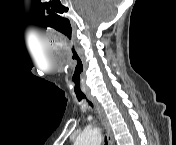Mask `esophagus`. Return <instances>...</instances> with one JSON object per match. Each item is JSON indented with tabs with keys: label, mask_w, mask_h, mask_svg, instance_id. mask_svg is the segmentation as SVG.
<instances>
[{
	"label": "esophagus",
	"mask_w": 176,
	"mask_h": 145,
	"mask_svg": "<svg viewBox=\"0 0 176 145\" xmlns=\"http://www.w3.org/2000/svg\"><path fill=\"white\" fill-rule=\"evenodd\" d=\"M89 99L91 100V102L94 104V106L97 108V110L100 113L102 124L106 130V136H107L109 145H114L112 129L103 108L101 107L100 103L96 98L89 96Z\"/></svg>",
	"instance_id": "34e87169"
}]
</instances>
